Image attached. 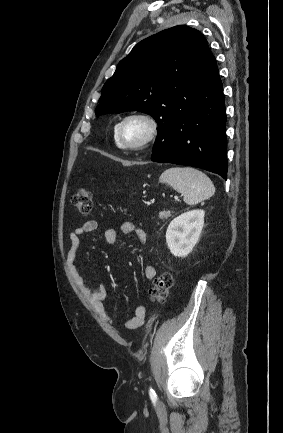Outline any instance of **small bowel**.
Instances as JSON below:
<instances>
[{"mask_svg":"<svg viewBox=\"0 0 283 433\" xmlns=\"http://www.w3.org/2000/svg\"><path fill=\"white\" fill-rule=\"evenodd\" d=\"M97 228L98 223L94 220H90L69 234L68 240L70 248L67 253L66 263L74 283L89 301L95 312L100 315L108 324L114 325L113 320L108 315L104 306V300L107 297L106 285L104 283H99L96 288H91L76 267V258L81 243V237L95 231ZM121 232L124 235H129L132 232H135L138 240L141 243H145L147 241V234L145 230L142 228H137L132 222L123 223L121 226ZM104 239L109 245L116 244L118 241V234L116 230L112 228L106 229L104 231ZM144 274L147 280L152 281L156 277L157 272L153 266H147L144 270ZM145 315L146 307L144 305L136 306L133 317H131L125 324L126 328L129 331L137 330L143 324Z\"/></svg>","mask_w":283,"mask_h":433,"instance_id":"obj_1","label":"small bowel"}]
</instances>
